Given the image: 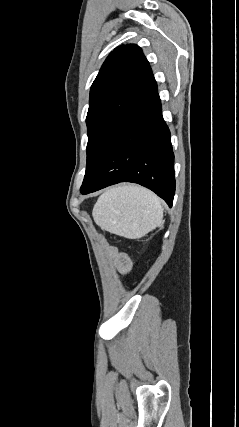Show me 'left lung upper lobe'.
Listing matches in <instances>:
<instances>
[{"mask_svg": "<svg viewBox=\"0 0 239 427\" xmlns=\"http://www.w3.org/2000/svg\"><path fill=\"white\" fill-rule=\"evenodd\" d=\"M156 93L157 83L139 46L121 45L110 53L90 90L87 166L80 191L117 131Z\"/></svg>", "mask_w": 239, "mask_h": 427, "instance_id": "1", "label": "left lung upper lobe"}]
</instances>
